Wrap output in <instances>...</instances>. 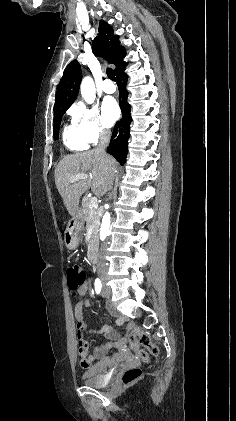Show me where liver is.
Returning <instances> with one entry per match:
<instances>
[{
    "instance_id": "6515ba94",
    "label": "liver",
    "mask_w": 236,
    "mask_h": 421,
    "mask_svg": "<svg viewBox=\"0 0 236 421\" xmlns=\"http://www.w3.org/2000/svg\"><path fill=\"white\" fill-rule=\"evenodd\" d=\"M117 162L110 154L96 152L95 148L78 154H67L55 168V184L71 217H77L79 200L83 192L91 188L93 192L105 194L113 184ZM89 174V178H79L70 182L71 176Z\"/></svg>"
}]
</instances>
